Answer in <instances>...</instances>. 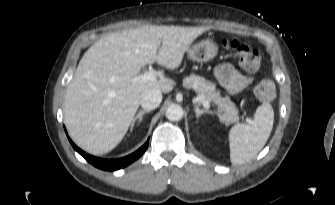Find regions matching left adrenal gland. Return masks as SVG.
<instances>
[{"label":"left adrenal gland","instance_id":"left-adrenal-gland-1","mask_svg":"<svg viewBox=\"0 0 335 205\" xmlns=\"http://www.w3.org/2000/svg\"><path fill=\"white\" fill-rule=\"evenodd\" d=\"M195 113H196V117L199 118L202 114L204 113H211V111L209 109H199L198 106H195Z\"/></svg>","mask_w":335,"mask_h":205}]
</instances>
